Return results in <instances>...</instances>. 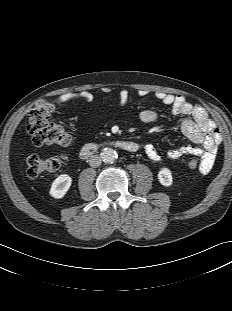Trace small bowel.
<instances>
[{
	"label": "small bowel",
	"mask_w": 232,
	"mask_h": 311,
	"mask_svg": "<svg viewBox=\"0 0 232 311\" xmlns=\"http://www.w3.org/2000/svg\"><path fill=\"white\" fill-rule=\"evenodd\" d=\"M102 91L105 94L113 93V90L109 87L103 88ZM150 93L148 89L144 88L137 90V94L141 98L149 96ZM153 94L157 100L169 105L174 115L184 117L180 123L181 130L193 143L184 144L169 150L166 154L167 158L175 160L184 156H199L201 157V172L208 173L214 164L218 145L221 142V133L217 126L208 118L202 107L189 103L185 97L162 90H157ZM57 100L61 102L74 100L90 102L93 100V94L87 90L66 92L61 94ZM117 100L120 105H125L129 100L128 90L122 89L118 91ZM139 119L143 123H152L157 119V113L151 109H143L139 112ZM143 150L150 160L154 162L162 160L161 155L152 144L145 143Z\"/></svg>",
	"instance_id": "1"
}]
</instances>
